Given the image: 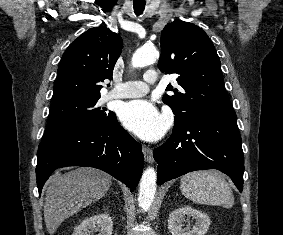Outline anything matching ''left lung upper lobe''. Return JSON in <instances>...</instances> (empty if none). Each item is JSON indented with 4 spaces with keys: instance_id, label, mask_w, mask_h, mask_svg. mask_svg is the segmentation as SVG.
Listing matches in <instances>:
<instances>
[{
    "instance_id": "obj_1",
    "label": "left lung upper lobe",
    "mask_w": 283,
    "mask_h": 235,
    "mask_svg": "<svg viewBox=\"0 0 283 235\" xmlns=\"http://www.w3.org/2000/svg\"><path fill=\"white\" fill-rule=\"evenodd\" d=\"M158 67L165 74L179 75L181 88L169 85L166 90L175 95L163 96L175 115V125L195 117L234 112L215 47L197 25L175 20L164 27Z\"/></svg>"
}]
</instances>
